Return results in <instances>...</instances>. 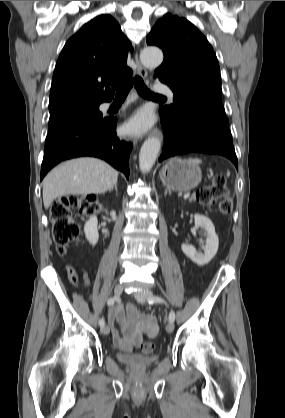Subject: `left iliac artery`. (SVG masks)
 <instances>
[{
    "label": "left iliac artery",
    "instance_id": "left-iliac-artery-1",
    "mask_svg": "<svg viewBox=\"0 0 285 418\" xmlns=\"http://www.w3.org/2000/svg\"><path fill=\"white\" fill-rule=\"evenodd\" d=\"M148 302H149V304H154V303H159V304L160 303L161 304L165 303L166 304L165 299L162 298V297H159V296H153V297L149 298ZM174 320H175V313H174L173 310H171L170 313H169V321L174 322Z\"/></svg>",
    "mask_w": 285,
    "mask_h": 418
}]
</instances>
